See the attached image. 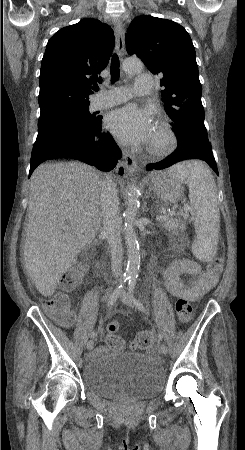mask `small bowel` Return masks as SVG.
I'll return each mask as SVG.
<instances>
[{
    "instance_id": "c3829d8e",
    "label": "small bowel",
    "mask_w": 245,
    "mask_h": 450,
    "mask_svg": "<svg viewBox=\"0 0 245 450\" xmlns=\"http://www.w3.org/2000/svg\"><path fill=\"white\" fill-rule=\"evenodd\" d=\"M184 276H192L194 280L187 283ZM218 282L216 273L202 270L189 259H175L171 262L163 275V283L167 290L175 297L197 300L209 292ZM107 346L96 348L95 354L108 353Z\"/></svg>"
}]
</instances>
